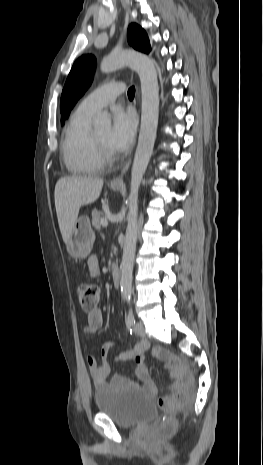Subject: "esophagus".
I'll use <instances>...</instances> for the list:
<instances>
[{"mask_svg": "<svg viewBox=\"0 0 263 465\" xmlns=\"http://www.w3.org/2000/svg\"><path fill=\"white\" fill-rule=\"evenodd\" d=\"M130 163H131V159H129L127 161V163L125 164V166L123 167L120 175H118L117 177L113 178L111 180V184L112 185H117V184H120L122 183V180H123V175L126 173V171L128 170L129 166H130Z\"/></svg>", "mask_w": 263, "mask_h": 465, "instance_id": "obj_1", "label": "esophagus"}]
</instances>
